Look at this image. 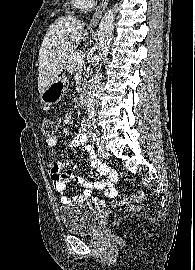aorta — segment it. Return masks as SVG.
Returning a JSON list of instances; mask_svg holds the SVG:
<instances>
[{"instance_id": "762f6f07", "label": "aorta", "mask_w": 195, "mask_h": 270, "mask_svg": "<svg viewBox=\"0 0 195 270\" xmlns=\"http://www.w3.org/2000/svg\"><path fill=\"white\" fill-rule=\"evenodd\" d=\"M115 21V9L114 7L108 9L101 19L98 28V40H99V57L98 61L106 58L109 45L112 41ZM101 81L100 69H96L95 74L91 79V85L89 89V97L87 101V112L88 116L92 117L95 114V106L98 99V89Z\"/></svg>"}]
</instances>
